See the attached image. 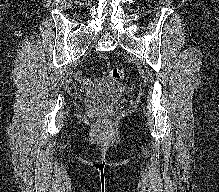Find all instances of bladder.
<instances>
[{
  "mask_svg": "<svg viewBox=\"0 0 219 192\" xmlns=\"http://www.w3.org/2000/svg\"><path fill=\"white\" fill-rule=\"evenodd\" d=\"M120 95V88L115 84H107L97 93L89 94V106L97 109L98 107L109 106L113 100Z\"/></svg>",
  "mask_w": 219,
  "mask_h": 192,
  "instance_id": "obj_1",
  "label": "bladder"
}]
</instances>
